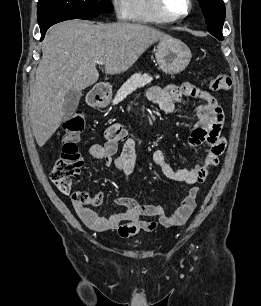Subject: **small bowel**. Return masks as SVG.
Returning a JSON list of instances; mask_svg holds the SVG:
<instances>
[{"instance_id":"obj_1","label":"small bowel","mask_w":261,"mask_h":306,"mask_svg":"<svg viewBox=\"0 0 261 306\" xmlns=\"http://www.w3.org/2000/svg\"><path fill=\"white\" fill-rule=\"evenodd\" d=\"M148 97L166 113L174 112L177 104L186 103V97L201 101L196 106L199 121L191 132L189 142L192 146L206 144L204 161L193 168L175 170L167 162L162 150L153 152V161L167 178L193 185L178 209L171 215H167L159 204H141L134 198L120 196L116 202L123 206L125 211L104 217L98 215L87 204L73 200L76 214L93 231H116L120 237L128 238L141 230L153 231L158 225L171 227L183 224L196 206L198 187L195 185L205 181L211 170L218 164L219 157L225 149L226 140L221 136L224 115L218 102L207 91L194 84L186 83L181 87L165 89L153 87L148 91ZM105 138L104 144L91 145L89 154L106 165H114L123 176H128L136 162L134 139L129 136L127 129L117 123L106 128ZM120 144L122 147L118 152ZM97 195L102 198L101 194ZM146 217H156L157 221L146 220Z\"/></svg>"}]
</instances>
